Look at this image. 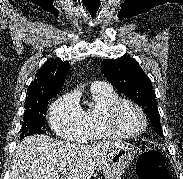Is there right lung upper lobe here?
<instances>
[{
    "label": "right lung upper lobe",
    "mask_w": 183,
    "mask_h": 179,
    "mask_svg": "<svg viewBox=\"0 0 183 179\" xmlns=\"http://www.w3.org/2000/svg\"><path fill=\"white\" fill-rule=\"evenodd\" d=\"M70 70L68 62L53 59L44 63L29 86L25 106L43 99L52 98L62 90L65 77Z\"/></svg>",
    "instance_id": "1"
}]
</instances>
